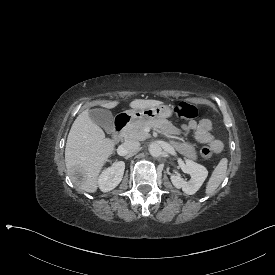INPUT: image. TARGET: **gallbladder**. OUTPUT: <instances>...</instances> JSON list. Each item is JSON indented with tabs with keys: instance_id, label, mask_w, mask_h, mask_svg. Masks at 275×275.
<instances>
[{
	"instance_id": "bac80fb5",
	"label": "gallbladder",
	"mask_w": 275,
	"mask_h": 275,
	"mask_svg": "<svg viewBox=\"0 0 275 275\" xmlns=\"http://www.w3.org/2000/svg\"><path fill=\"white\" fill-rule=\"evenodd\" d=\"M90 119L101 126L108 134L114 129L113 115L111 111L102 108L91 109L89 111Z\"/></svg>"
}]
</instances>
